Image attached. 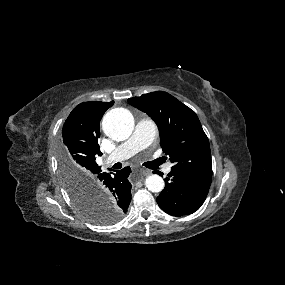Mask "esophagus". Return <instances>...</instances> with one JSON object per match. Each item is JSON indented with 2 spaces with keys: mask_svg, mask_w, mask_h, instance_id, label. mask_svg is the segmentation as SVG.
Instances as JSON below:
<instances>
[{
  "mask_svg": "<svg viewBox=\"0 0 285 285\" xmlns=\"http://www.w3.org/2000/svg\"><path fill=\"white\" fill-rule=\"evenodd\" d=\"M140 172H141V175H142V176H146V175L151 174V171L148 170V169H141Z\"/></svg>",
  "mask_w": 285,
  "mask_h": 285,
  "instance_id": "1",
  "label": "esophagus"
}]
</instances>
